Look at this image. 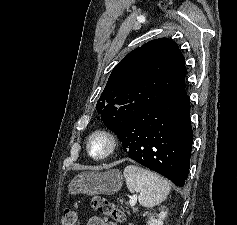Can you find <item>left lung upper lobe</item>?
Wrapping results in <instances>:
<instances>
[{"mask_svg":"<svg viewBox=\"0 0 237 225\" xmlns=\"http://www.w3.org/2000/svg\"><path fill=\"white\" fill-rule=\"evenodd\" d=\"M185 75L184 56L177 43L167 38L149 41L114 67L97 112L118 135L135 115L185 90Z\"/></svg>","mask_w":237,"mask_h":225,"instance_id":"left-lung-upper-lobe-1","label":"left lung upper lobe"}]
</instances>
